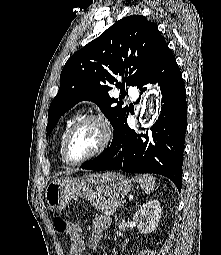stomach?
Here are the masks:
<instances>
[{"instance_id": "stomach-1", "label": "stomach", "mask_w": 221, "mask_h": 255, "mask_svg": "<svg viewBox=\"0 0 221 255\" xmlns=\"http://www.w3.org/2000/svg\"><path fill=\"white\" fill-rule=\"evenodd\" d=\"M132 183L118 172L86 174L80 178L61 177L46 188L47 204L56 210L65 208L75 197L93 202L104 197L117 198L132 190Z\"/></svg>"}]
</instances>
